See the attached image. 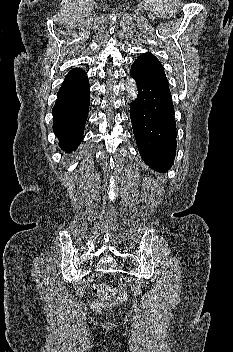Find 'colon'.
<instances>
[{
    "instance_id": "1",
    "label": "colon",
    "mask_w": 233,
    "mask_h": 352,
    "mask_svg": "<svg viewBox=\"0 0 233 352\" xmlns=\"http://www.w3.org/2000/svg\"><path fill=\"white\" fill-rule=\"evenodd\" d=\"M93 292L100 298L93 303L96 310L123 303L127 299L126 290L116 285H94Z\"/></svg>"
}]
</instances>
